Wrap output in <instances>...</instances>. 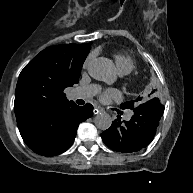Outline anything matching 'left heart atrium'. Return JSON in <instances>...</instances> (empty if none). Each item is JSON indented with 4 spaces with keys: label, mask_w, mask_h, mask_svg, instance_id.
I'll return each mask as SVG.
<instances>
[{
    "label": "left heart atrium",
    "mask_w": 193,
    "mask_h": 193,
    "mask_svg": "<svg viewBox=\"0 0 193 193\" xmlns=\"http://www.w3.org/2000/svg\"><path fill=\"white\" fill-rule=\"evenodd\" d=\"M103 96H111V97H116L118 96V93L113 90V89H106L103 93H102Z\"/></svg>",
    "instance_id": "obj_1"
}]
</instances>
